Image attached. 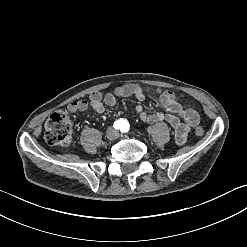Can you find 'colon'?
Listing matches in <instances>:
<instances>
[{"label": "colon", "mask_w": 247, "mask_h": 247, "mask_svg": "<svg viewBox=\"0 0 247 247\" xmlns=\"http://www.w3.org/2000/svg\"><path fill=\"white\" fill-rule=\"evenodd\" d=\"M196 134L202 136L203 129L199 126ZM44 140L50 146L68 148L72 141V125L66 113H52L44 124Z\"/></svg>", "instance_id": "1"}]
</instances>
